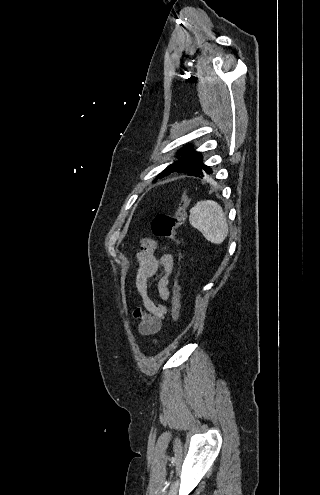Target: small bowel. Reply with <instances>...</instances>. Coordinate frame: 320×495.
I'll use <instances>...</instances> for the list:
<instances>
[{
  "label": "small bowel",
  "mask_w": 320,
  "mask_h": 495,
  "mask_svg": "<svg viewBox=\"0 0 320 495\" xmlns=\"http://www.w3.org/2000/svg\"><path fill=\"white\" fill-rule=\"evenodd\" d=\"M157 250L161 251L159 257L156 256ZM136 258L138 269L135 284L142 298L144 309H135L133 316L138 321V333L142 336H150L159 332L168 313L167 302L170 298L168 285L174 267V259L165 247L160 246L151 237H145L139 241ZM154 283H157L161 303L155 302L150 297L149 291Z\"/></svg>",
  "instance_id": "1"
}]
</instances>
